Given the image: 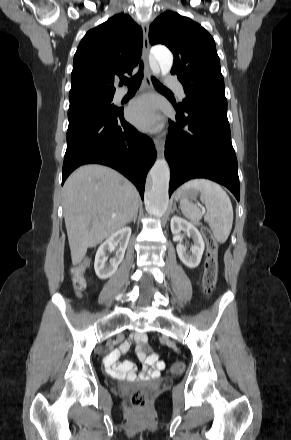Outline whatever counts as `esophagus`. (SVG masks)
Here are the masks:
<instances>
[{
    "instance_id": "obj_1",
    "label": "esophagus",
    "mask_w": 291,
    "mask_h": 440,
    "mask_svg": "<svg viewBox=\"0 0 291 440\" xmlns=\"http://www.w3.org/2000/svg\"><path fill=\"white\" fill-rule=\"evenodd\" d=\"M143 28V52H144V59L146 61V67L144 71V82L147 86H151V70L148 65V55H149V24L147 22H144L142 24ZM155 149L157 151L158 156H161L164 152V140L162 138H156L155 139Z\"/></svg>"
}]
</instances>
